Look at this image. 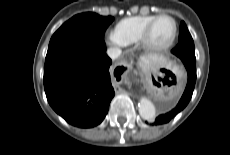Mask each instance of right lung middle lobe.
Segmentation results:
<instances>
[{"instance_id": "obj_1", "label": "right lung middle lobe", "mask_w": 230, "mask_h": 155, "mask_svg": "<svg viewBox=\"0 0 230 155\" xmlns=\"http://www.w3.org/2000/svg\"><path fill=\"white\" fill-rule=\"evenodd\" d=\"M113 19L91 12L75 15L53 34L47 55L71 47H104V33Z\"/></svg>"}]
</instances>
